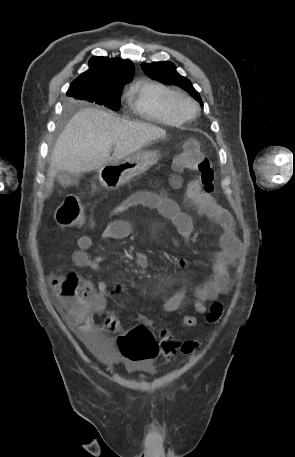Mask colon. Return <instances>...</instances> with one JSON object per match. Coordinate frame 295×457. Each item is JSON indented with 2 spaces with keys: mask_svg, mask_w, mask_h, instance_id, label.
Listing matches in <instances>:
<instances>
[{
  "mask_svg": "<svg viewBox=\"0 0 295 457\" xmlns=\"http://www.w3.org/2000/svg\"><path fill=\"white\" fill-rule=\"evenodd\" d=\"M177 172L185 170L197 171L204 192L212 194L214 191V172L208 157L202 152L199 141L188 139L176 155L173 162ZM174 184H179L175 179ZM83 206L76 196H67L56 212V221L62 227H74L83 222ZM55 292L69 316L77 319H86L90 315L91 297L90 288L73 273L55 277ZM221 304L213 303L206 315L209 323L216 322L222 315ZM198 346L196 341H176L172 337L164 336L157 343L151 330L144 323L139 324L128 333H122L117 342L116 353L125 362L147 363L160 360L167 363L176 361L179 355H191Z\"/></svg>",
  "mask_w": 295,
  "mask_h": 457,
  "instance_id": "5ec220e1",
  "label": "colon"
}]
</instances>
